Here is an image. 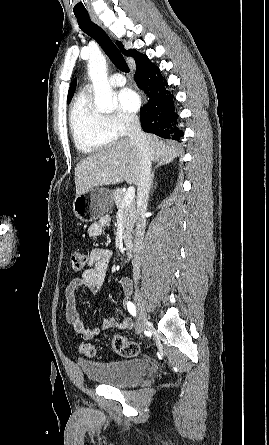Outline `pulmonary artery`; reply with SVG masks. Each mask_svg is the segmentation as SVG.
<instances>
[{
    "label": "pulmonary artery",
    "mask_w": 269,
    "mask_h": 445,
    "mask_svg": "<svg viewBox=\"0 0 269 445\" xmlns=\"http://www.w3.org/2000/svg\"><path fill=\"white\" fill-rule=\"evenodd\" d=\"M109 83L113 87H121V86L125 85L126 80H125L124 76H122L121 74L115 73L110 76Z\"/></svg>",
    "instance_id": "e3ab8cb5"
}]
</instances>
